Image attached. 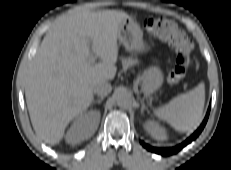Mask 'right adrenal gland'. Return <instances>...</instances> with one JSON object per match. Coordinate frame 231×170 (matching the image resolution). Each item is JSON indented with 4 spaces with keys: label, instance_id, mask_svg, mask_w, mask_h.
Returning a JSON list of instances; mask_svg holds the SVG:
<instances>
[{
    "label": "right adrenal gland",
    "instance_id": "obj_1",
    "mask_svg": "<svg viewBox=\"0 0 231 170\" xmlns=\"http://www.w3.org/2000/svg\"><path fill=\"white\" fill-rule=\"evenodd\" d=\"M103 99H104V97H100V98L97 99V100H93V101H92V104H94V103L100 104V103L102 102Z\"/></svg>",
    "mask_w": 231,
    "mask_h": 170
}]
</instances>
